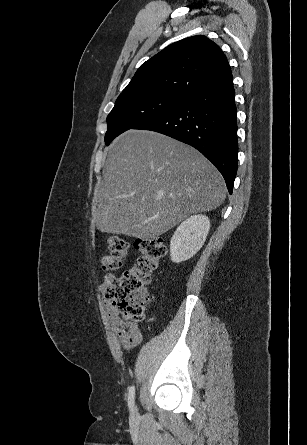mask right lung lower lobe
<instances>
[{"instance_id":"1","label":"right lung lower lobe","mask_w":307,"mask_h":445,"mask_svg":"<svg viewBox=\"0 0 307 445\" xmlns=\"http://www.w3.org/2000/svg\"><path fill=\"white\" fill-rule=\"evenodd\" d=\"M232 74L132 129L156 131L199 150L223 175L232 194L237 172V109Z\"/></svg>"}]
</instances>
